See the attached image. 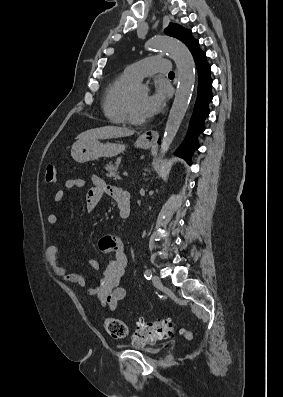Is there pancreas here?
<instances>
[{"mask_svg":"<svg viewBox=\"0 0 283 397\" xmlns=\"http://www.w3.org/2000/svg\"><path fill=\"white\" fill-rule=\"evenodd\" d=\"M120 162L117 160L114 163L109 162V164L106 165L105 169L107 170L108 174L107 177H113L115 180L120 179L118 175V169H119Z\"/></svg>","mask_w":283,"mask_h":397,"instance_id":"obj_1","label":"pancreas"}]
</instances>
